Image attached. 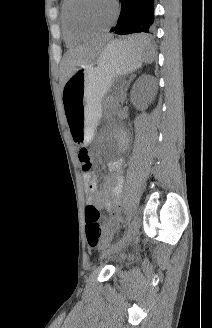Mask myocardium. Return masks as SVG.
<instances>
[{"mask_svg": "<svg viewBox=\"0 0 212 328\" xmlns=\"http://www.w3.org/2000/svg\"><path fill=\"white\" fill-rule=\"evenodd\" d=\"M81 1L82 0H69V4L67 7V18H68L71 28L75 32L90 33V34L104 32V31H107L108 29H110L118 18V14H119L118 4L115 0H112L114 13H113V17H112L111 21L107 25L102 26V27H90V26L84 25V24L80 23L74 16V8Z\"/></svg>", "mask_w": 212, "mask_h": 328, "instance_id": "f54148a6", "label": "myocardium"}]
</instances>
